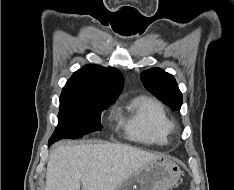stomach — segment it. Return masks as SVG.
Wrapping results in <instances>:
<instances>
[{"label":"stomach","instance_id":"obj_1","mask_svg":"<svg viewBox=\"0 0 234 190\" xmlns=\"http://www.w3.org/2000/svg\"><path fill=\"white\" fill-rule=\"evenodd\" d=\"M181 174L175 162L158 157L125 178L115 190H169L179 182Z\"/></svg>","mask_w":234,"mask_h":190}]
</instances>
